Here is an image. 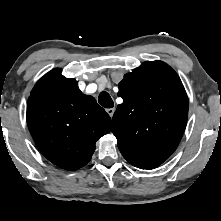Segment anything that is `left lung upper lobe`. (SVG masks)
<instances>
[{"instance_id": "left-lung-upper-lobe-1", "label": "left lung upper lobe", "mask_w": 221, "mask_h": 221, "mask_svg": "<svg viewBox=\"0 0 221 221\" xmlns=\"http://www.w3.org/2000/svg\"><path fill=\"white\" fill-rule=\"evenodd\" d=\"M123 103L113 115L112 133L121 152L161 164L176 150L188 116V97L177 73L162 61H148L119 83Z\"/></svg>"}]
</instances>
